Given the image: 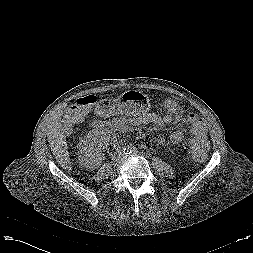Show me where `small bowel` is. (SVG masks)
<instances>
[{
	"instance_id": "1",
	"label": "small bowel",
	"mask_w": 253,
	"mask_h": 253,
	"mask_svg": "<svg viewBox=\"0 0 253 253\" xmlns=\"http://www.w3.org/2000/svg\"><path fill=\"white\" fill-rule=\"evenodd\" d=\"M157 125L158 127H160L161 129H165L166 128V122L165 120L157 117V116H151L150 117ZM172 139L174 142H178L181 139V134L180 133H175L172 136Z\"/></svg>"
}]
</instances>
